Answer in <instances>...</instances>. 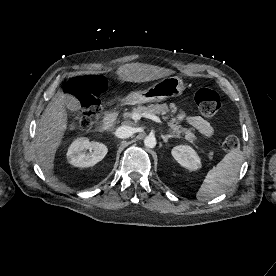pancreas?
Here are the masks:
<instances>
[{"mask_svg":"<svg viewBox=\"0 0 276 276\" xmlns=\"http://www.w3.org/2000/svg\"><path fill=\"white\" fill-rule=\"evenodd\" d=\"M177 108L175 105L171 104L167 106L166 104H150L147 107L145 106H138L136 108H133L131 112H125L123 113V117L125 119L131 118L134 113H152V114H158V115H165L169 112L175 113ZM167 119V117H165ZM130 124V121H128ZM168 126L170 127L171 131L176 134L178 137L183 134L185 139L190 143H195L197 140V137L195 136L192 129L184 128L180 125L178 121L175 119H172L168 122ZM212 153H209L208 157L212 158Z\"/></svg>","mask_w":276,"mask_h":276,"instance_id":"cf45deb5","label":"pancreas"}]
</instances>
